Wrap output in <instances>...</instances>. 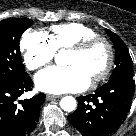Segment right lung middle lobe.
<instances>
[{"label":"right lung middle lobe","instance_id":"1","mask_svg":"<svg viewBox=\"0 0 136 136\" xmlns=\"http://www.w3.org/2000/svg\"><path fill=\"white\" fill-rule=\"evenodd\" d=\"M31 25L32 20L26 18L0 21V84L14 83L28 75L22 64L19 41Z\"/></svg>","mask_w":136,"mask_h":136}]
</instances>
